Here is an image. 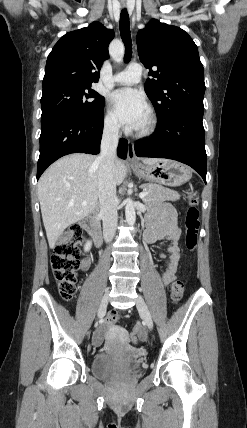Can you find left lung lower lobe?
<instances>
[{"mask_svg":"<svg viewBox=\"0 0 247 428\" xmlns=\"http://www.w3.org/2000/svg\"><path fill=\"white\" fill-rule=\"evenodd\" d=\"M203 111L177 108L159 120L154 137L136 142L139 157L168 158L185 163L196 170L206 183L207 155Z\"/></svg>","mask_w":247,"mask_h":428,"instance_id":"left-lung-lower-lobe-1","label":"left lung lower lobe"}]
</instances>
